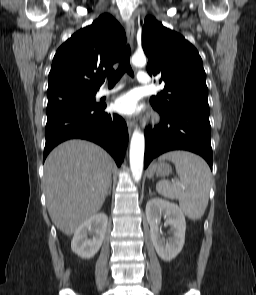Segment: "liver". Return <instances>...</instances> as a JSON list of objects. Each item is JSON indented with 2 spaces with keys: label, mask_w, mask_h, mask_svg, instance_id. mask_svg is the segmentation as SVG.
I'll list each match as a JSON object with an SVG mask.
<instances>
[{
  "label": "liver",
  "mask_w": 256,
  "mask_h": 295,
  "mask_svg": "<svg viewBox=\"0 0 256 295\" xmlns=\"http://www.w3.org/2000/svg\"><path fill=\"white\" fill-rule=\"evenodd\" d=\"M114 163L101 147L84 140L57 146L44 164V187L52 222L72 235L101 209Z\"/></svg>",
  "instance_id": "6515ba94"
}]
</instances>
